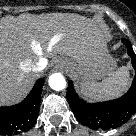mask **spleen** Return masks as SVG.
Returning <instances> with one entry per match:
<instances>
[{
  "label": "spleen",
  "instance_id": "3e777b00",
  "mask_svg": "<svg viewBox=\"0 0 136 136\" xmlns=\"http://www.w3.org/2000/svg\"><path fill=\"white\" fill-rule=\"evenodd\" d=\"M126 75L122 71L109 74L100 82L87 81L83 84L84 94L94 99L116 96L125 84Z\"/></svg>",
  "mask_w": 136,
  "mask_h": 136
}]
</instances>
